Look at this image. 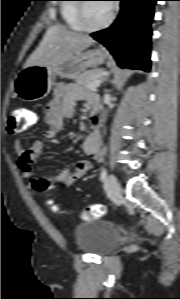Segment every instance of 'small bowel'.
Here are the masks:
<instances>
[{
    "label": "small bowel",
    "mask_w": 180,
    "mask_h": 299,
    "mask_svg": "<svg viewBox=\"0 0 180 299\" xmlns=\"http://www.w3.org/2000/svg\"><path fill=\"white\" fill-rule=\"evenodd\" d=\"M88 98L95 99V96L87 94L71 84L58 83L54 90L53 99L45 110L44 122L46 128L43 131L44 138H55L61 132L64 120L75 114L77 102ZM15 149L19 156L18 165L28 186L32 189H35V182L37 181L50 185L63 184L69 186L85 176L91 168L90 161L81 160L71 167L63 168L57 174L37 177L33 173V167L42 153V142L34 141L30 146L25 147L22 140H17ZM82 150L87 156L97 158L100 153L99 133H90L82 143Z\"/></svg>",
    "instance_id": "obj_1"
}]
</instances>
